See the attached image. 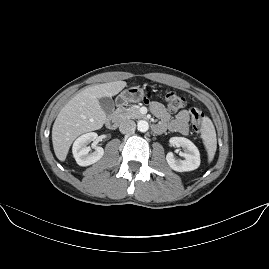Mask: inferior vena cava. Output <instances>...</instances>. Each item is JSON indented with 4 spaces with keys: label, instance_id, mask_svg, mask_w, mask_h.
<instances>
[{
    "label": "inferior vena cava",
    "instance_id": "602c4592",
    "mask_svg": "<svg viewBox=\"0 0 269 269\" xmlns=\"http://www.w3.org/2000/svg\"><path fill=\"white\" fill-rule=\"evenodd\" d=\"M136 124L133 120H124L119 125V131L123 134L134 132Z\"/></svg>",
    "mask_w": 269,
    "mask_h": 269
}]
</instances>
